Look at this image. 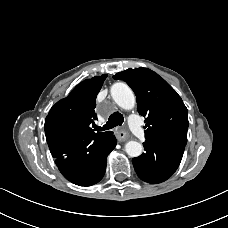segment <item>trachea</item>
I'll return each mask as SVG.
<instances>
[{"mask_svg":"<svg viewBox=\"0 0 228 228\" xmlns=\"http://www.w3.org/2000/svg\"><path fill=\"white\" fill-rule=\"evenodd\" d=\"M124 122V117L121 113L119 112H114L113 114L110 115L107 123L103 127H96L97 131H103V130H108L112 129L116 126H121Z\"/></svg>","mask_w":228,"mask_h":228,"instance_id":"3493384b","label":"trachea"}]
</instances>
